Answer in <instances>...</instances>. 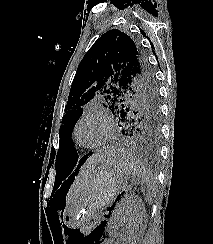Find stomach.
I'll use <instances>...</instances> for the list:
<instances>
[{
    "label": "stomach",
    "instance_id": "0dacf381",
    "mask_svg": "<svg viewBox=\"0 0 213 244\" xmlns=\"http://www.w3.org/2000/svg\"><path fill=\"white\" fill-rule=\"evenodd\" d=\"M117 149H106L107 158L98 163L76 190L63 212V223L79 228L95 219L122 191L129 173L120 166Z\"/></svg>",
    "mask_w": 213,
    "mask_h": 244
}]
</instances>
